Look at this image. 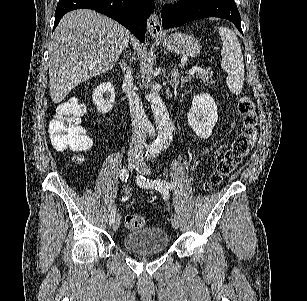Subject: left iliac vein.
<instances>
[{
	"instance_id": "4c4485c4",
	"label": "left iliac vein",
	"mask_w": 307,
	"mask_h": 301,
	"mask_svg": "<svg viewBox=\"0 0 307 301\" xmlns=\"http://www.w3.org/2000/svg\"><path fill=\"white\" fill-rule=\"evenodd\" d=\"M137 170L139 171V173L141 174H150V168L145 165L144 163H141V164H138L137 165ZM171 223H172V226L175 228V229H178L179 226H180V217L177 213H173L172 216H171Z\"/></svg>"
}]
</instances>
